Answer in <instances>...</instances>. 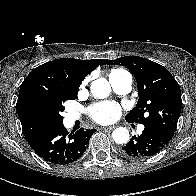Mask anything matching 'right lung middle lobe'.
Listing matches in <instances>:
<instances>
[{
    "label": "right lung middle lobe",
    "instance_id": "1",
    "mask_svg": "<svg viewBox=\"0 0 196 196\" xmlns=\"http://www.w3.org/2000/svg\"><path fill=\"white\" fill-rule=\"evenodd\" d=\"M78 91L63 92L52 95L39 96L34 102L37 114L47 123L49 128L63 124L61 112L66 100L76 99Z\"/></svg>",
    "mask_w": 196,
    "mask_h": 196
}]
</instances>
